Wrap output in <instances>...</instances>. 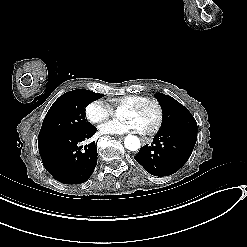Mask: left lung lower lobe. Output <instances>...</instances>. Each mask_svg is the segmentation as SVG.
<instances>
[{
	"instance_id": "left-lung-lower-lobe-1",
	"label": "left lung lower lobe",
	"mask_w": 247,
	"mask_h": 247,
	"mask_svg": "<svg viewBox=\"0 0 247 247\" xmlns=\"http://www.w3.org/2000/svg\"><path fill=\"white\" fill-rule=\"evenodd\" d=\"M197 140V132L159 131L151 145L143 146L134 159L154 176L177 172L189 159Z\"/></svg>"
}]
</instances>
